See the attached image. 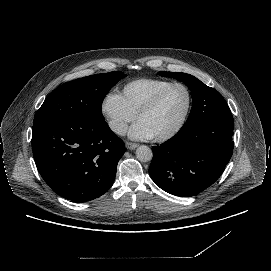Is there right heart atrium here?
<instances>
[{
  "mask_svg": "<svg viewBox=\"0 0 271 271\" xmlns=\"http://www.w3.org/2000/svg\"><path fill=\"white\" fill-rule=\"evenodd\" d=\"M100 112L108 127L117 135H124L135 116L124 105L120 94L107 91L100 103Z\"/></svg>",
  "mask_w": 271,
  "mask_h": 271,
  "instance_id": "obj_1",
  "label": "right heart atrium"
}]
</instances>
